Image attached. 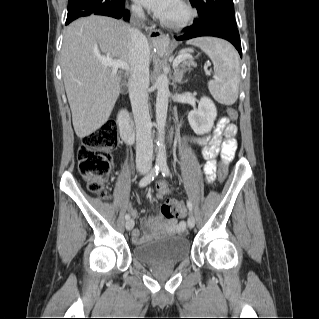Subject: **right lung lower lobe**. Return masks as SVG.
<instances>
[{"label":"right lung lower lobe","instance_id":"obj_1","mask_svg":"<svg viewBox=\"0 0 319 319\" xmlns=\"http://www.w3.org/2000/svg\"><path fill=\"white\" fill-rule=\"evenodd\" d=\"M92 14L110 16L117 19L123 18L124 20L129 19V11L125 9V0H122L118 4L113 5L112 8L108 10L98 11ZM87 15H91V14H87Z\"/></svg>","mask_w":319,"mask_h":319}]
</instances>
